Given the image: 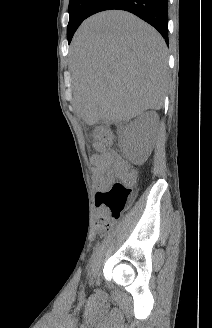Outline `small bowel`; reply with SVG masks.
I'll return each mask as SVG.
<instances>
[{
	"instance_id": "small-bowel-1",
	"label": "small bowel",
	"mask_w": 212,
	"mask_h": 328,
	"mask_svg": "<svg viewBox=\"0 0 212 328\" xmlns=\"http://www.w3.org/2000/svg\"><path fill=\"white\" fill-rule=\"evenodd\" d=\"M94 147L97 153L91 157V161L95 167L94 174L101 185L111 182L116 176L128 182L134 180V172L125 167L123 160L115 151L99 143Z\"/></svg>"
}]
</instances>
